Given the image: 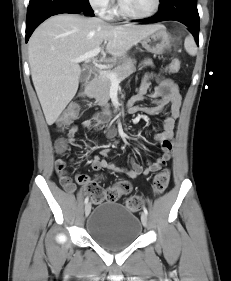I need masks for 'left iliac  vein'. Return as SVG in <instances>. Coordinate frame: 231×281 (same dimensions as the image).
<instances>
[{
  "mask_svg": "<svg viewBox=\"0 0 231 281\" xmlns=\"http://www.w3.org/2000/svg\"><path fill=\"white\" fill-rule=\"evenodd\" d=\"M141 221L144 227H147L148 225V219H147V215L145 213L141 214Z\"/></svg>",
  "mask_w": 231,
  "mask_h": 281,
  "instance_id": "left-iliac-vein-1",
  "label": "left iliac vein"
}]
</instances>
